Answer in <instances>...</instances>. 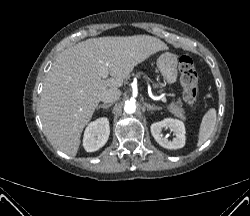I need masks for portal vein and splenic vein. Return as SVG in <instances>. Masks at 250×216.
<instances>
[{
    "label": "portal vein and splenic vein",
    "mask_w": 250,
    "mask_h": 216,
    "mask_svg": "<svg viewBox=\"0 0 250 216\" xmlns=\"http://www.w3.org/2000/svg\"><path fill=\"white\" fill-rule=\"evenodd\" d=\"M108 65L106 64L104 67H103V69H102V73H101V76L103 77V78H106V77H108ZM160 99H161V101H163V102H167V100H166V98L163 96V95H161L160 96Z\"/></svg>",
    "instance_id": "18ae733b"
}]
</instances>
